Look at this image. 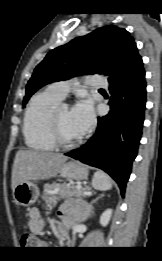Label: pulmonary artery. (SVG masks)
<instances>
[{
    "label": "pulmonary artery",
    "mask_w": 162,
    "mask_h": 261,
    "mask_svg": "<svg viewBox=\"0 0 162 261\" xmlns=\"http://www.w3.org/2000/svg\"><path fill=\"white\" fill-rule=\"evenodd\" d=\"M71 85V81H58L49 84L47 89L60 99H63L68 94ZM91 86L95 89H106L108 88L109 83L106 79L96 75L91 78Z\"/></svg>",
    "instance_id": "e3ab8cb5"
}]
</instances>
